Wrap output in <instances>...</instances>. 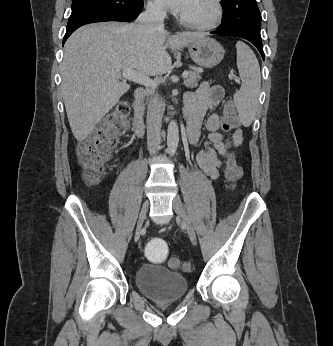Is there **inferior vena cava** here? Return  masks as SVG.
Masks as SVG:
<instances>
[{
    "mask_svg": "<svg viewBox=\"0 0 333 346\" xmlns=\"http://www.w3.org/2000/svg\"><path fill=\"white\" fill-rule=\"evenodd\" d=\"M164 9L157 4L148 5L139 15L136 23L151 32L164 31ZM163 107L157 94L150 91L147 106V145L150 155H156L161 146V126Z\"/></svg>",
    "mask_w": 333,
    "mask_h": 346,
    "instance_id": "inferior-vena-cava-1",
    "label": "inferior vena cava"
}]
</instances>
